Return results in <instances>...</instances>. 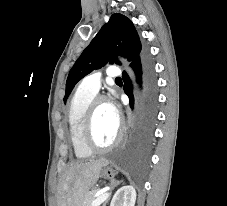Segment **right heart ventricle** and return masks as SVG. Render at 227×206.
Instances as JSON below:
<instances>
[{"label": "right heart ventricle", "instance_id": "e07e8e85", "mask_svg": "<svg viewBox=\"0 0 227 206\" xmlns=\"http://www.w3.org/2000/svg\"><path fill=\"white\" fill-rule=\"evenodd\" d=\"M96 94L80 88L74 93L69 103L66 120L73 152L79 159L88 158L92 152L84 145L82 126L86 110Z\"/></svg>", "mask_w": 227, "mask_h": 206}]
</instances>
